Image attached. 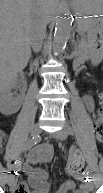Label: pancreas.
Masks as SVG:
<instances>
[{"mask_svg": "<svg viewBox=\"0 0 103 193\" xmlns=\"http://www.w3.org/2000/svg\"><path fill=\"white\" fill-rule=\"evenodd\" d=\"M81 25L84 27L90 26L88 21H81ZM77 45H78V49H79V54L82 56H85L88 52V48H87V43H86L84 37H82L80 40H78Z\"/></svg>", "mask_w": 103, "mask_h": 193, "instance_id": "cf45deb5", "label": "pancreas"}]
</instances>
